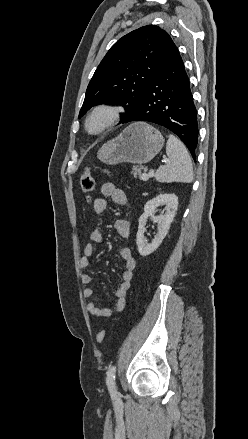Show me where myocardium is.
I'll return each mask as SVG.
<instances>
[{"mask_svg": "<svg viewBox=\"0 0 248 439\" xmlns=\"http://www.w3.org/2000/svg\"><path fill=\"white\" fill-rule=\"evenodd\" d=\"M100 119L101 124L97 129L91 128V122ZM121 109L112 104H99L95 106L86 116L84 128L90 135H100L119 123Z\"/></svg>", "mask_w": 248, "mask_h": 439, "instance_id": "1", "label": "myocardium"}]
</instances>
